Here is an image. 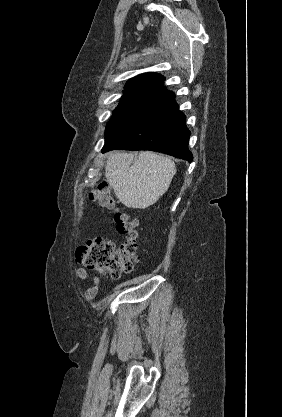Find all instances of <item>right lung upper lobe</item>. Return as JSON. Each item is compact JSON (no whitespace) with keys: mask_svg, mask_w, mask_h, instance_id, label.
<instances>
[{"mask_svg":"<svg viewBox=\"0 0 282 417\" xmlns=\"http://www.w3.org/2000/svg\"><path fill=\"white\" fill-rule=\"evenodd\" d=\"M165 78L156 73H145L130 79L124 92H139L161 95L167 89L163 86Z\"/></svg>","mask_w":282,"mask_h":417,"instance_id":"right-lung-upper-lobe-1","label":"right lung upper lobe"}]
</instances>
